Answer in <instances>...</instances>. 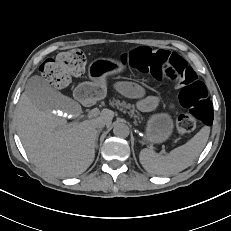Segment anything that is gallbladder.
Returning a JSON list of instances; mask_svg holds the SVG:
<instances>
[{"mask_svg": "<svg viewBox=\"0 0 231 231\" xmlns=\"http://www.w3.org/2000/svg\"><path fill=\"white\" fill-rule=\"evenodd\" d=\"M25 93L30 101L40 110L63 109L62 105L70 99L51 87L40 76L31 77L25 87Z\"/></svg>", "mask_w": 231, "mask_h": 231, "instance_id": "bac80fb5", "label": "gallbladder"}]
</instances>
